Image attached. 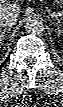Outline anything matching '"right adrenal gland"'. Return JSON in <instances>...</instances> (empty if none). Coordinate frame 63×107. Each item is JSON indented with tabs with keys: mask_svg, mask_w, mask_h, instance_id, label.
<instances>
[{
	"mask_svg": "<svg viewBox=\"0 0 63 107\" xmlns=\"http://www.w3.org/2000/svg\"><path fill=\"white\" fill-rule=\"evenodd\" d=\"M10 29H4L3 31H1L0 33V43L2 45V41L4 39L5 34L9 31Z\"/></svg>",
	"mask_w": 63,
	"mask_h": 107,
	"instance_id": "1",
	"label": "right adrenal gland"
}]
</instances>
